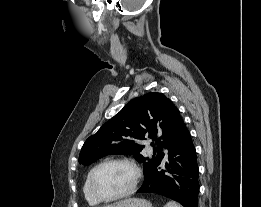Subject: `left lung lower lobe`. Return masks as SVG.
I'll return each instance as SVG.
<instances>
[{
  "label": "left lung lower lobe",
  "mask_w": 261,
  "mask_h": 207,
  "mask_svg": "<svg viewBox=\"0 0 261 207\" xmlns=\"http://www.w3.org/2000/svg\"><path fill=\"white\" fill-rule=\"evenodd\" d=\"M163 163L161 161L144 177L137 193L158 194L184 207H198L199 169L196 149L184 122L176 140L168 149L167 162Z\"/></svg>",
  "instance_id": "left-lung-lower-lobe-1"
}]
</instances>
